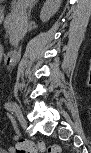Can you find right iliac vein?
<instances>
[{
  "mask_svg": "<svg viewBox=\"0 0 91 153\" xmlns=\"http://www.w3.org/2000/svg\"><path fill=\"white\" fill-rule=\"evenodd\" d=\"M11 106H12V112L15 114L20 127L25 129L27 126L26 120L23 117L19 106L15 102H11Z\"/></svg>",
  "mask_w": 91,
  "mask_h": 153,
  "instance_id": "right-iliac-vein-1",
  "label": "right iliac vein"
}]
</instances>
